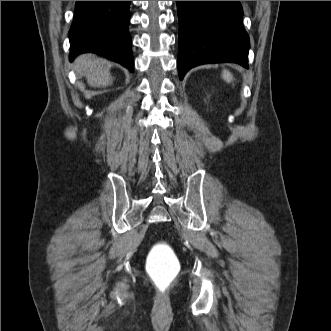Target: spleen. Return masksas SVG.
I'll list each match as a JSON object with an SVG mask.
<instances>
[{
    "label": "spleen",
    "mask_w": 331,
    "mask_h": 331,
    "mask_svg": "<svg viewBox=\"0 0 331 331\" xmlns=\"http://www.w3.org/2000/svg\"><path fill=\"white\" fill-rule=\"evenodd\" d=\"M222 77L228 83L233 81V75L228 70L223 71Z\"/></svg>",
    "instance_id": "spleen-1"
}]
</instances>
